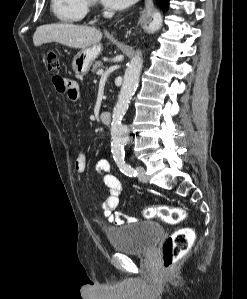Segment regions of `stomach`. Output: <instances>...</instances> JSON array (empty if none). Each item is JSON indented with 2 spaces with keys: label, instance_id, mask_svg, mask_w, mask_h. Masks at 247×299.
<instances>
[{
  "label": "stomach",
  "instance_id": "obj_1",
  "mask_svg": "<svg viewBox=\"0 0 247 299\" xmlns=\"http://www.w3.org/2000/svg\"><path fill=\"white\" fill-rule=\"evenodd\" d=\"M102 49L100 44L90 46L78 52L72 62V69L77 77L85 76Z\"/></svg>",
  "mask_w": 247,
  "mask_h": 299
}]
</instances>
